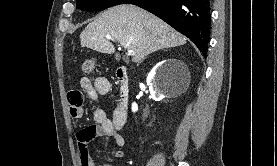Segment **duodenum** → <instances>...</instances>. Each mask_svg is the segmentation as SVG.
Instances as JSON below:
<instances>
[{
  "label": "duodenum",
  "instance_id": "1",
  "mask_svg": "<svg viewBox=\"0 0 277 166\" xmlns=\"http://www.w3.org/2000/svg\"><path fill=\"white\" fill-rule=\"evenodd\" d=\"M116 78L119 83L118 110L123 119H127L130 100V82L127 69L119 66L116 70Z\"/></svg>",
  "mask_w": 277,
  "mask_h": 166
}]
</instances>
